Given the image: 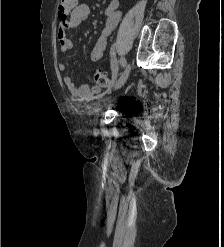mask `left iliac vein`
Segmentation results:
<instances>
[{
  "instance_id": "obj_1",
  "label": "left iliac vein",
  "mask_w": 224,
  "mask_h": 247,
  "mask_svg": "<svg viewBox=\"0 0 224 247\" xmlns=\"http://www.w3.org/2000/svg\"><path fill=\"white\" fill-rule=\"evenodd\" d=\"M131 72V64L128 63L127 66L125 67L123 73L121 74L120 78L118 79L116 85H115V89H119L121 88L125 82L127 81L129 75Z\"/></svg>"
}]
</instances>
